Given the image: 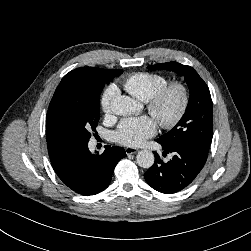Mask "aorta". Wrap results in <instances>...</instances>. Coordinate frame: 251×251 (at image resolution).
<instances>
[{
	"instance_id": "762f6f07",
	"label": "aorta",
	"mask_w": 251,
	"mask_h": 251,
	"mask_svg": "<svg viewBox=\"0 0 251 251\" xmlns=\"http://www.w3.org/2000/svg\"><path fill=\"white\" fill-rule=\"evenodd\" d=\"M139 104L129 96H117L111 102V109L118 115H130L136 112ZM137 164L145 169L150 168L154 164V155L149 150H141L136 156Z\"/></svg>"
}]
</instances>
